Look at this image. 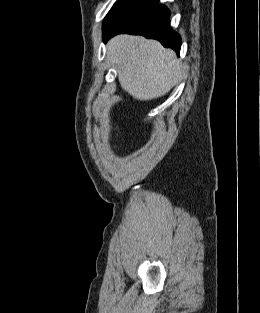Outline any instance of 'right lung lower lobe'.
Segmentation results:
<instances>
[{
  "label": "right lung lower lobe",
  "mask_w": 260,
  "mask_h": 313,
  "mask_svg": "<svg viewBox=\"0 0 260 313\" xmlns=\"http://www.w3.org/2000/svg\"><path fill=\"white\" fill-rule=\"evenodd\" d=\"M159 0H120L103 22V40L120 33L157 39L164 47L180 52L181 38L169 26L170 11Z\"/></svg>",
  "instance_id": "obj_1"
}]
</instances>
